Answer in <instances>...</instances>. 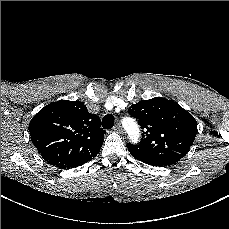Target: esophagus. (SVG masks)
I'll list each match as a JSON object with an SVG mask.
<instances>
[{"instance_id": "1", "label": "esophagus", "mask_w": 229, "mask_h": 229, "mask_svg": "<svg viewBox=\"0 0 229 229\" xmlns=\"http://www.w3.org/2000/svg\"><path fill=\"white\" fill-rule=\"evenodd\" d=\"M113 129L118 133H123L122 126L120 124H118V123L114 126Z\"/></svg>"}]
</instances>
